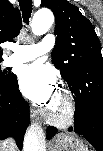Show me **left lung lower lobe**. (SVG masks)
I'll return each mask as SVG.
<instances>
[{
	"label": "left lung lower lobe",
	"mask_w": 103,
	"mask_h": 151,
	"mask_svg": "<svg viewBox=\"0 0 103 151\" xmlns=\"http://www.w3.org/2000/svg\"><path fill=\"white\" fill-rule=\"evenodd\" d=\"M75 99V132L97 150L103 148V63L91 62L89 76L74 78L68 84ZM72 128L69 129L71 131ZM56 128L47 129L48 139Z\"/></svg>",
	"instance_id": "left-lung-lower-lobe-1"
}]
</instances>
